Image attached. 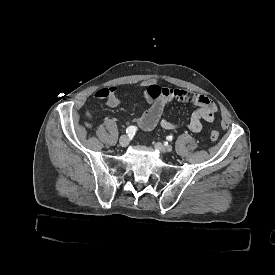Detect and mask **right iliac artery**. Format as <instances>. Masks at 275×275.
Wrapping results in <instances>:
<instances>
[{
	"mask_svg": "<svg viewBox=\"0 0 275 275\" xmlns=\"http://www.w3.org/2000/svg\"><path fill=\"white\" fill-rule=\"evenodd\" d=\"M137 131V127L135 126H129L127 129H126V133L129 135V136H132V135H135V132Z\"/></svg>",
	"mask_w": 275,
	"mask_h": 275,
	"instance_id": "obj_1",
	"label": "right iliac artery"
}]
</instances>
